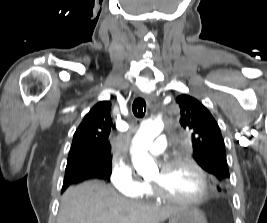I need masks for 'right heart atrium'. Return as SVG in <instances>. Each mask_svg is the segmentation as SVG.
I'll return each mask as SVG.
<instances>
[{
    "instance_id": "d8ad5b80",
    "label": "right heart atrium",
    "mask_w": 267,
    "mask_h": 223,
    "mask_svg": "<svg viewBox=\"0 0 267 223\" xmlns=\"http://www.w3.org/2000/svg\"><path fill=\"white\" fill-rule=\"evenodd\" d=\"M110 180L118 193L127 196H140L145 186V183L137 178L133 168L126 162L113 165Z\"/></svg>"
}]
</instances>
